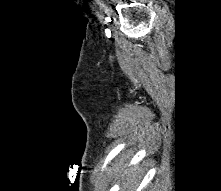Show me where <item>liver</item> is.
<instances>
[{"instance_id":"1","label":"liver","mask_w":221,"mask_h":191,"mask_svg":"<svg viewBox=\"0 0 221 191\" xmlns=\"http://www.w3.org/2000/svg\"><path fill=\"white\" fill-rule=\"evenodd\" d=\"M125 167H126V164L122 168L120 167L118 169L119 174L117 175L116 179L123 176L121 191H134V188L137 187L139 184L137 175L140 172V166L135 165L133 168H130L126 171H125Z\"/></svg>"}]
</instances>
